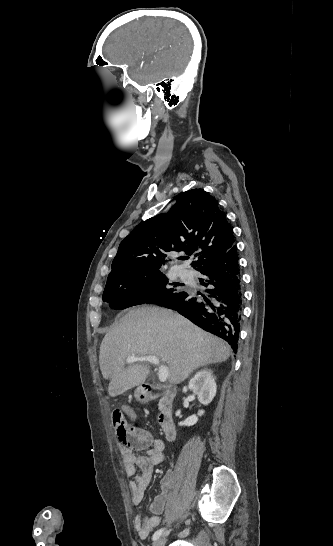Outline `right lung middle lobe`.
Returning <instances> with one entry per match:
<instances>
[{
  "label": "right lung middle lobe",
  "instance_id": "dd1d6c3e",
  "mask_svg": "<svg viewBox=\"0 0 333 546\" xmlns=\"http://www.w3.org/2000/svg\"><path fill=\"white\" fill-rule=\"evenodd\" d=\"M168 280L159 270H112L102 299L112 309H125L143 303H156L182 290L168 287Z\"/></svg>",
  "mask_w": 333,
  "mask_h": 546
}]
</instances>
